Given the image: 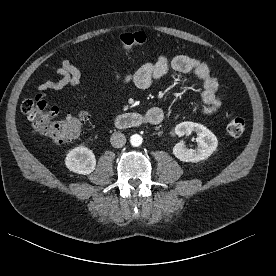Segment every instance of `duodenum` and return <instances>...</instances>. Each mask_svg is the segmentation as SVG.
Returning <instances> with one entry per match:
<instances>
[{
    "label": "duodenum",
    "instance_id": "obj_1",
    "mask_svg": "<svg viewBox=\"0 0 276 276\" xmlns=\"http://www.w3.org/2000/svg\"><path fill=\"white\" fill-rule=\"evenodd\" d=\"M162 118V116L158 118H152L140 113L128 112L120 114L116 119V123L121 128H133L140 127L146 124H159L162 121Z\"/></svg>",
    "mask_w": 276,
    "mask_h": 276
}]
</instances>
